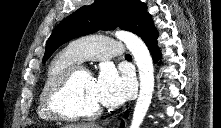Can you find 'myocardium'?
Masks as SVG:
<instances>
[{
	"mask_svg": "<svg viewBox=\"0 0 221 128\" xmlns=\"http://www.w3.org/2000/svg\"><path fill=\"white\" fill-rule=\"evenodd\" d=\"M81 71L87 72V70L82 65H75L70 67L60 77L53 81L45 91L43 104L45 111L49 115L62 120L76 121L94 119L101 114V107H98L89 112H74L67 109L63 105V100L70 90L76 75Z\"/></svg>",
	"mask_w": 221,
	"mask_h": 128,
	"instance_id": "1",
	"label": "myocardium"
}]
</instances>
